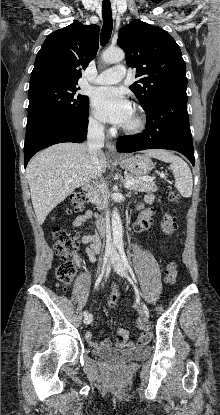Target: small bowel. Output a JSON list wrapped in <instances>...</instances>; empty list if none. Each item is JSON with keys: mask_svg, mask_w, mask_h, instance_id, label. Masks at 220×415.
<instances>
[{"mask_svg": "<svg viewBox=\"0 0 220 415\" xmlns=\"http://www.w3.org/2000/svg\"><path fill=\"white\" fill-rule=\"evenodd\" d=\"M152 201H153V195L151 194L147 195L144 199V203L139 205V208H142L144 204H150ZM93 216H94V213L91 210H87L83 212L82 214L78 215L74 219L72 223L73 228H75L76 230L79 229L84 224L89 223ZM150 224H151V216L143 215L137 220L135 224V230L137 232H141L143 230L148 229ZM81 242L83 245H85V251L88 256V259L91 262H95L97 256L100 254L101 249H102L101 239L98 233L95 232L92 234L83 235L81 237ZM114 292L119 293L117 284L114 285ZM138 325H139V328L144 331L143 333L147 332L148 329L143 319H139ZM115 333L120 337L119 341H117V343L115 344L116 348L118 349H123L126 347L135 348L138 346H142L146 344V342L149 340V339L147 340L142 339V335H143L142 333L138 340L130 341L129 333L126 330L121 329V328L116 329ZM84 336H85V339L89 342V345L93 348H98V347L109 348L111 346L110 340H105L102 343H97L96 341L92 340L93 335H92V332L89 330L85 331Z\"/></svg>", "mask_w": 220, "mask_h": 415, "instance_id": "c3829d8e", "label": "small bowel"}]
</instances>
